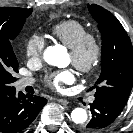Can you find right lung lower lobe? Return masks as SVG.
Returning a JSON list of instances; mask_svg holds the SVG:
<instances>
[{
    "mask_svg": "<svg viewBox=\"0 0 133 133\" xmlns=\"http://www.w3.org/2000/svg\"><path fill=\"white\" fill-rule=\"evenodd\" d=\"M47 103L45 98L16 94L13 90L0 96V132L17 133L25 130Z\"/></svg>",
    "mask_w": 133,
    "mask_h": 133,
    "instance_id": "right-lung-lower-lobe-1",
    "label": "right lung lower lobe"
}]
</instances>
